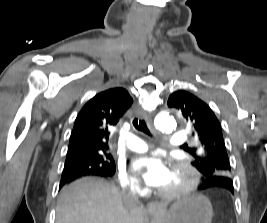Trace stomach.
Here are the masks:
<instances>
[{
  "label": "stomach",
  "instance_id": "0dacf381",
  "mask_svg": "<svg viewBox=\"0 0 267 223\" xmlns=\"http://www.w3.org/2000/svg\"><path fill=\"white\" fill-rule=\"evenodd\" d=\"M161 223H211L213 208L209 199L201 194L178 198L169 209L157 213Z\"/></svg>",
  "mask_w": 267,
  "mask_h": 223
}]
</instances>
